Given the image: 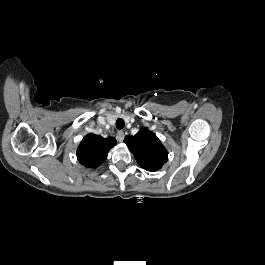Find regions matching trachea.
Returning <instances> with one entry per match:
<instances>
[{
    "mask_svg": "<svg viewBox=\"0 0 265 265\" xmlns=\"http://www.w3.org/2000/svg\"><path fill=\"white\" fill-rule=\"evenodd\" d=\"M124 126H125L124 120L121 119V118L117 119V121H116V127H117V129H122V128H124Z\"/></svg>",
    "mask_w": 265,
    "mask_h": 265,
    "instance_id": "1",
    "label": "trachea"
}]
</instances>
